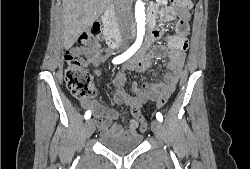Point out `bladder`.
I'll list each match as a JSON object with an SVG mask.
<instances>
[{
	"label": "bladder",
	"instance_id": "obj_1",
	"mask_svg": "<svg viewBox=\"0 0 250 169\" xmlns=\"http://www.w3.org/2000/svg\"><path fill=\"white\" fill-rule=\"evenodd\" d=\"M100 136L101 146L120 156L136 151L144 141V135L136 133H101Z\"/></svg>",
	"mask_w": 250,
	"mask_h": 169
}]
</instances>
